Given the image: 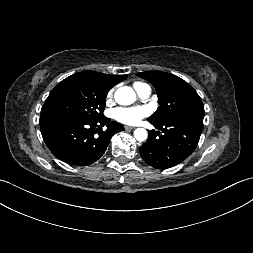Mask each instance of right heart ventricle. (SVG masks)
Wrapping results in <instances>:
<instances>
[{"label":"right heart ventricle","instance_id":"e07e8e85","mask_svg":"<svg viewBox=\"0 0 253 253\" xmlns=\"http://www.w3.org/2000/svg\"><path fill=\"white\" fill-rule=\"evenodd\" d=\"M148 86L147 84L143 83V82H134L133 87L134 89L138 92L140 89H142L143 87Z\"/></svg>","mask_w":253,"mask_h":253}]
</instances>
